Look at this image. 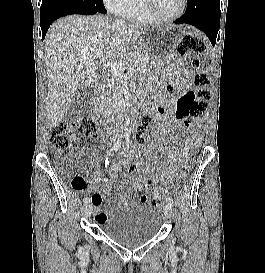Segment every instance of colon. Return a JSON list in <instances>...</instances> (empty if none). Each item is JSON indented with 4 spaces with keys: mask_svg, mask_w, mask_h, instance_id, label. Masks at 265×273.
<instances>
[{
    "mask_svg": "<svg viewBox=\"0 0 265 273\" xmlns=\"http://www.w3.org/2000/svg\"><path fill=\"white\" fill-rule=\"evenodd\" d=\"M177 53L194 54L198 55L205 51V44L202 39L193 33H188L182 37L176 47ZM191 66L196 71L194 75V84L196 86L195 91H189L185 93L177 102L176 105V117L178 120L183 121L186 125H190L192 120L200 118L206 114L209 107L210 91L208 89L209 77L208 75L200 71L199 59L193 56L191 59ZM169 90L172 87H167ZM156 122V115L154 111H150L145 114L137 127L136 140L141 143L144 139V134L149 128H151ZM97 135V126L91 118H83L81 121L75 122H60L55 125L50 132V143L59 156H67L72 147L73 142L78 140H90ZM187 151L195 152L196 148H199V136L190 129L187 133ZM191 169L190 160H186L182 166V172L188 173ZM130 173L138 171V165L136 163L131 164L128 167ZM71 186L75 190H80L83 187V181L80 177H74L71 180ZM144 188L148 191L157 189V182L153 178H146L144 180ZM154 204L159 202V199H155Z\"/></svg>",
    "mask_w": 265,
    "mask_h": 273,
    "instance_id": "5ec220e1",
    "label": "colon"
}]
</instances>
